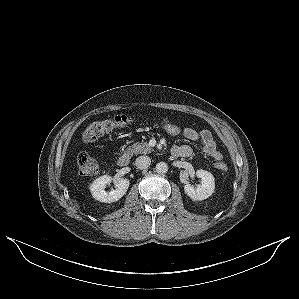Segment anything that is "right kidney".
I'll list each match as a JSON object with an SVG mask.
<instances>
[{
	"label": "right kidney",
	"instance_id": "1",
	"mask_svg": "<svg viewBox=\"0 0 299 299\" xmlns=\"http://www.w3.org/2000/svg\"><path fill=\"white\" fill-rule=\"evenodd\" d=\"M112 180L113 178L108 175L101 176L94 180L90 186L93 198L105 203H112L122 198L129 187V180L126 178H117L115 179L116 188L110 192L105 191L106 185Z\"/></svg>",
	"mask_w": 299,
	"mask_h": 299
}]
</instances>
